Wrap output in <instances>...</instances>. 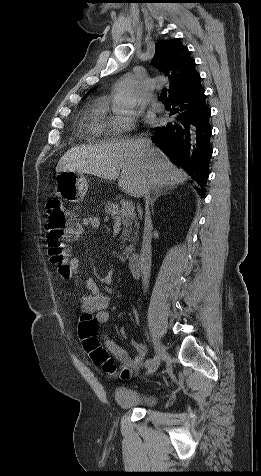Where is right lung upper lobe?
<instances>
[{
    "label": "right lung upper lobe",
    "instance_id": "cb5924a9",
    "mask_svg": "<svg viewBox=\"0 0 261 476\" xmlns=\"http://www.w3.org/2000/svg\"><path fill=\"white\" fill-rule=\"evenodd\" d=\"M154 65L170 79L169 98L191 88L200 75L189 50L179 39L162 40L155 44ZM86 96V95H85Z\"/></svg>",
    "mask_w": 261,
    "mask_h": 476
}]
</instances>
